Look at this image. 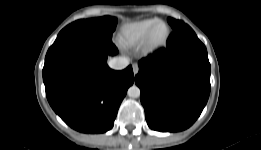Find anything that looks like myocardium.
<instances>
[{"instance_id": "1", "label": "myocardium", "mask_w": 261, "mask_h": 150, "mask_svg": "<svg viewBox=\"0 0 261 150\" xmlns=\"http://www.w3.org/2000/svg\"><path fill=\"white\" fill-rule=\"evenodd\" d=\"M160 24H163L166 26V29H167V32H166V35L161 39V40H155L154 39V31L156 29V27ZM170 33H171V30H170V27L169 25L165 22V21H162V20H158L151 28L150 30L148 31L143 43H144V47L147 49V50H156L162 46H164L167 42V40L169 39V36H170Z\"/></svg>"}]
</instances>
